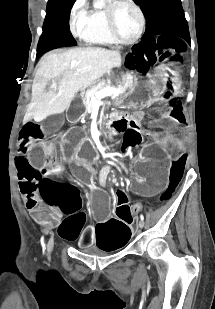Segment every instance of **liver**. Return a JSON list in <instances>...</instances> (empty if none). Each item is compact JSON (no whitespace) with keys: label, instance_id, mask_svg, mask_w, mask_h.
Masks as SVG:
<instances>
[{"label":"liver","instance_id":"obj_1","mask_svg":"<svg viewBox=\"0 0 215 309\" xmlns=\"http://www.w3.org/2000/svg\"><path fill=\"white\" fill-rule=\"evenodd\" d=\"M114 50L102 46L70 48L66 52H47L34 76L32 98L24 122L32 114L48 116L69 108L76 92L95 84L113 66H120L121 46ZM55 78L57 86L45 90L49 80Z\"/></svg>","mask_w":215,"mask_h":309}]
</instances>
